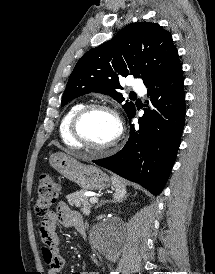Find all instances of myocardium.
<instances>
[{
    "instance_id": "myocardium-1",
    "label": "myocardium",
    "mask_w": 215,
    "mask_h": 274,
    "mask_svg": "<svg viewBox=\"0 0 215 274\" xmlns=\"http://www.w3.org/2000/svg\"><path fill=\"white\" fill-rule=\"evenodd\" d=\"M96 110H101L110 113L111 115L114 116V118L117 121L118 124V133L116 137L110 141L107 144L104 145H95L91 143L86 137L83 135L82 130H81V124L84 120V118L91 112L96 111ZM71 134L73 138L82 146L85 148H88L92 151L95 152H106L113 147H115L120 140L123 137L124 134V127L122 120L118 114V112L112 108L109 105L102 104V103H91V104H86L84 105L81 109L77 111V113L74 115L72 122H71Z\"/></svg>"
}]
</instances>
